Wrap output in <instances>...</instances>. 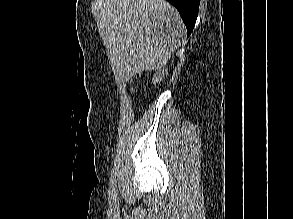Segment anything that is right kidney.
<instances>
[{
    "label": "right kidney",
    "mask_w": 293,
    "mask_h": 219,
    "mask_svg": "<svg viewBox=\"0 0 293 219\" xmlns=\"http://www.w3.org/2000/svg\"><path fill=\"white\" fill-rule=\"evenodd\" d=\"M165 74H167V69H163L162 71L160 70L159 72H157L153 77V83H160L163 80Z\"/></svg>",
    "instance_id": "obj_1"
}]
</instances>
